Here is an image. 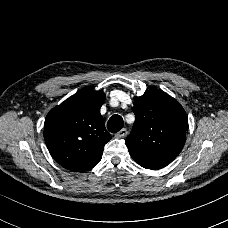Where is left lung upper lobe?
Here are the masks:
<instances>
[{
	"instance_id": "1",
	"label": "left lung upper lobe",
	"mask_w": 228,
	"mask_h": 228,
	"mask_svg": "<svg viewBox=\"0 0 228 228\" xmlns=\"http://www.w3.org/2000/svg\"><path fill=\"white\" fill-rule=\"evenodd\" d=\"M135 123L126 138L131 157L142 167L160 169L181 152L188 130L183 107L163 91L151 88L134 97Z\"/></svg>"
}]
</instances>
